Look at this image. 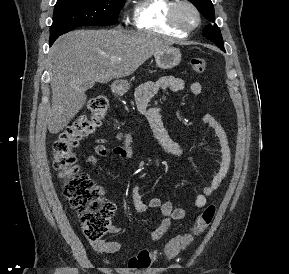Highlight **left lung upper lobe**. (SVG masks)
<instances>
[{
	"mask_svg": "<svg viewBox=\"0 0 289 274\" xmlns=\"http://www.w3.org/2000/svg\"><path fill=\"white\" fill-rule=\"evenodd\" d=\"M199 12L211 23L215 22L214 7L211 0H189ZM203 36L213 41L221 50L224 49L223 39L219 27L216 24H209L202 32Z\"/></svg>",
	"mask_w": 289,
	"mask_h": 274,
	"instance_id": "1",
	"label": "left lung upper lobe"
}]
</instances>
